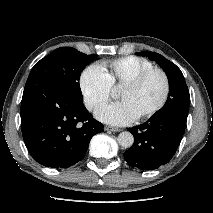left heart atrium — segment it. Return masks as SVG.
Here are the masks:
<instances>
[{
    "label": "left heart atrium",
    "instance_id": "1",
    "mask_svg": "<svg viewBox=\"0 0 213 213\" xmlns=\"http://www.w3.org/2000/svg\"><path fill=\"white\" fill-rule=\"evenodd\" d=\"M96 118L111 125H126L136 119V115L126 101L103 106L96 112Z\"/></svg>",
    "mask_w": 213,
    "mask_h": 213
}]
</instances>
